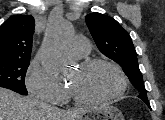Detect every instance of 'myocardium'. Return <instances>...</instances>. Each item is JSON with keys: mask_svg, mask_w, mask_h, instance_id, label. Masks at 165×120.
Instances as JSON below:
<instances>
[{"mask_svg": "<svg viewBox=\"0 0 165 120\" xmlns=\"http://www.w3.org/2000/svg\"><path fill=\"white\" fill-rule=\"evenodd\" d=\"M99 64L109 65L110 67H112L117 72V74L120 78V87H119V89L114 94H112L108 97L99 98V99H92V98H88V97H85L82 94H80L79 91L75 87L69 86V91H70L71 95L73 96V98L77 102L82 103V104H104V103H109V102H112V101L120 98L126 92L127 85H128L126 74L123 71V69L121 68V66L118 63H116L115 61L110 60L108 58L96 57V58H91V59H87V60L83 61L80 64L79 68L81 70H87V69H89L93 66L99 65Z\"/></svg>", "mask_w": 165, "mask_h": 120, "instance_id": "1", "label": "myocardium"}]
</instances>
